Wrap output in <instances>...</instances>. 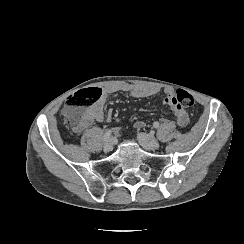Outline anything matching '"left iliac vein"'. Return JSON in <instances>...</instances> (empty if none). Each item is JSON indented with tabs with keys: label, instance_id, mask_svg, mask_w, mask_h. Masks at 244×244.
<instances>
[{
	"label": "left iliac vein",
	"instance_id": "1",
	"mask_svg": "<svg viewBox=\"0 0 244 244\" xmlns=\"http://www.w3.org/2000/svg\"><path fill=\"white\" fill-rule=\"evenodd\" d=\"M137 139L146 150H155L159 147L158 141L150 134L140 133Z\"/></svg>",
	"mask_w": 244,
	"mask_h": 244
}]
</instances>
